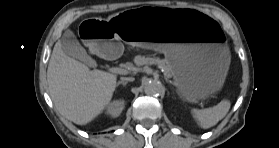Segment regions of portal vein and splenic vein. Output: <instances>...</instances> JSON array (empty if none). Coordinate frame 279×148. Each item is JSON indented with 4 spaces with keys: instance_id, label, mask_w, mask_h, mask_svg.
<instances>
[{
    "instance_id": "obj_1",
    "label": "portal vein and splenic vein",
    "mask_w": 279,
    "mask_h": 148,
    "mask_svg": "<svg viewBox=\"0 0 279 148\" xmlns=\"http://www.w3.org/2000/svg\"><path fill=\"white\" fill-rule=\"evenodd\" d=\"M109 71L112 73H115V74H126L127 73V71L125 69L118 68V67H112L109 69ZM201 106H203V104H201Z\"/></svg>"
}]
</instances>
